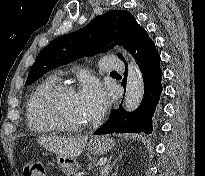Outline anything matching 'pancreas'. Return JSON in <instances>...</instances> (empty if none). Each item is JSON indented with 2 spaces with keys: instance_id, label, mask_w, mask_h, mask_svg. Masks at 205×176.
Segmentation results:
<instances>
[{
  "instance_id": "pancreas-1",
  "label": "pancreas",
  "mask_w": 205,
  "mask_h": 176,
  "mask_svg": "<svg viewBox=\"0 0 205 176\" xmlns=\"http://www.w3.org/2000/svg\"><path fill=\"white\" fill-rule=\"evenodd\" d=\"M75 176H81V174H76Z\"/></svg>"
}]
</instances>
